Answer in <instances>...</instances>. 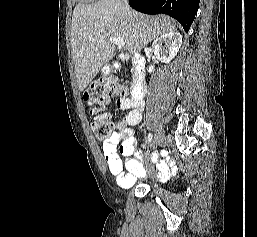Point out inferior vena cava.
<instances>
[{"label":"inferior vena cava","instance_id":"602c4592","mask_svg":"<svg viewBox=\"0 0 257 237\" xmlns=\"http://www.w3.org/2000/svg\"><path fill=\"white\" fill-rule=\"evenodd\" d=\"M123 3L127 10H129L128 0H123Z\"/></svg>","mask_w":257,"mask_h":237}]
</instances>
